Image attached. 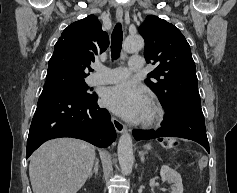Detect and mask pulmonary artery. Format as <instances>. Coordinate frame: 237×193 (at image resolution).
<instances>
[{"mask_svg":"<svg viewBox=\"0 0 237 193\" xmlns=\"http://www.w3.org/2000/svg\"><path fill=\"white\" fill-rule=\"evenodd\" d=\"M144 60L141 57H131L128 68H108L96 65L97 72L90 77L91 85L118 83L126 79L131 71H140L143 68Z\"/></svg>","mask_w":237,"mask_h":193,"instance_id":"pulmonary-artery-1","label":"pulmonary artery"}]
</instances>
